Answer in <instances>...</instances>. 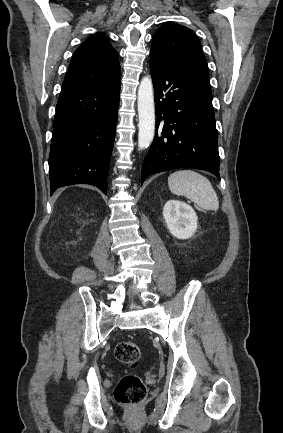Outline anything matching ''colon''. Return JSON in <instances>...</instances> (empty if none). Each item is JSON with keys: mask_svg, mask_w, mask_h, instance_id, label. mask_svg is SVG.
Returning <instances> with one entry per match:
<instances>
[{"mask_svg": "<svg viewBox=\"0 0 283 433\" xmlns=\"http://www.w3.org/2000/svg\"><path fill=\"white\" fill-rule=\"evenodd\" d=\"M140 356L138 345L132 341L120 342L115 348L116 359L129 367L138 366ZM114 396L122 404L135 406L145 399L146 387L139 376L127 374L117 384Z\"/></svg>", "mask_w": 283, "mask_h": 433, "instance_id": "colon-1", "label": "colon"}]
</instances>
